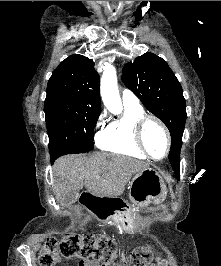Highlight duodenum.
I'll return each instance as SVG.
<instances>
[{"mask_svg": "<svg viewBox=\"0 0 221 266\" xmlns=\"http://www.w3.org/2000/svg\"><path fill=\"white\" fill-rule=\"evenodd\" d=\"M101 193H104V190H101ZM79 203L87 206V212L98 219V223H108V219L115 217L123 228H128L131 225L123 215L125 209L123 201L115 194H100V191L86 189V191H82Z\"/></svg>", "mask_w": 221, "mask_h": 266, "instance_id": "410a0bca", "label": "duodenum"}]
</instances>
